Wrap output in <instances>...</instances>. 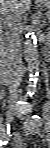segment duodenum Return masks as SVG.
<instances>
[{
	"mask_svg": "<svg viewBox=\"0 0 50 148\" xmlns=\"http://www.w3.org/2000/svg\"><path fill=\"white\" fill-rule=\"evenodd\" d=\"M11 80L10 74H8L7 70L5 68H2L1 70V83L2 84H8Z\"/></svg>",
	"mask_w": 50,
	"mask_h": 148,
	"instance_id": "410a0bca",
	"label": "duodenum"
}]
</instances>
